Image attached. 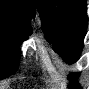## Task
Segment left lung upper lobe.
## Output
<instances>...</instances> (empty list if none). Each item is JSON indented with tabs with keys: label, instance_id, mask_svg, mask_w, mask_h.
Here are the masks:
<instances>
[{
	"label": "left lung upper lobe",
	"instance_id": "5c2ea615",
	"mask_svg": "<svg viewBox=\"0 0 89 89\" xmlns=\"http://www.w3.org/2000/svg\"><path fill=\"white\" fill-rule=\"evenodd\" d=\"M48 40L68 63H75L83 48L87 29L85 0H33ZM79 73L70 77L76 78ZM73 89H80L73 80Z\"/></svg>",
	"mask_w": 89,
	"mask_h": 89
}]
</instances>
